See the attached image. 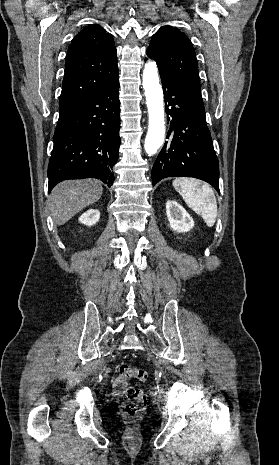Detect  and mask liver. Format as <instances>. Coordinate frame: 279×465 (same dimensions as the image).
Wrapping results in <instances>:
<instances>
[{"label":"liver","instance_id":"6515ba94","mask_svg":"<svg viewBox=\"0 0 279 465\" xmlns=\"http://www.w3.org/2000/svg\"><path fill=\"white\" fill-rule=\"evenodd\" d=\"M101 182L95 179L67 180L59 183L49 197L51 215L58 225L68 222L102 196Z\"/></svg>","mask_w":279,"mask_h":465}]
</instances>
